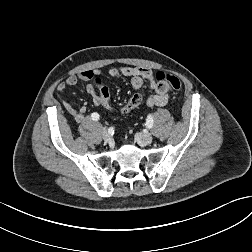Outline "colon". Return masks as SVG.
<instances>
[{"instance_id": "obj_1", "label": "colon", "mask_w": 252, "mask_h": 252, "mask_svg": "<svg viewBox=\"0 0 252 252\" xmlns=\"http://www.w3.org/2000/svg\"><path fill=\"white\" fill-rule=\"evenodd\" d=\"M155 78L158 81L166 82L168 86L175 91L181 89V81L179 80V78L172 74L157 72L155 74ZM94 85L98 89V94L100 96V105L110 112L127 114L135 110L142 103V95L135 93L127 101L117 105L113 102L108 88L102 86L99 80H96L94 82Z\"/></svg>"}]
</instances>
